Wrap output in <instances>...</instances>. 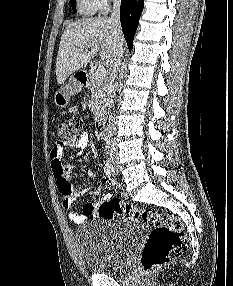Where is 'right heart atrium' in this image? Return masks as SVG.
Returning <instances> with one entry per match:
<instances>
[{
    "label": "right heart atrium",
    "instance_id": "right-heart-atrium-1",
    "mask_svg": "<svg viewBox=\"0 0 233 286\" xmlns=\"http://www.w3.org/2000/svg\"><path fill=\"white\" fill-rule=\"evenodd\" d=\"M100 11H106L109 7L110 0H95Z\"/></svg>",
    "mask_w": 233,
    "mask_h": 286
}]
</instances>
